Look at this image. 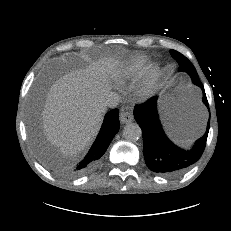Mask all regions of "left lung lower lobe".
Instances as JSON below:
<instances>
[{"instance_id": "left-lung-lower-lobe-1", "label": "left lung lower lobe", "mask_w": 231, "mask_h": 231, "mask_svg": "<svg viewBox=\"0 0 231 231\" xmlns=\"http://www.w3.org/2000/svg\"><path fill=\"white\" fill-rule=\"evenodd\" d=\"M203 92V103L209 108L204 87L200 80H193ZM157 96L143 105L135 106L134 117L143 133V154L147 167L160 175L176 176L196 163L204 152L209 132L210 119L205 134L191 149H182L164 134L156 107Z\"/></svg>"}]
</instances>
